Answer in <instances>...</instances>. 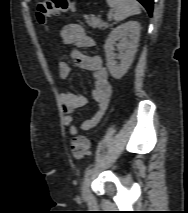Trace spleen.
I'll use <instances>...</instances> for the list:
<instances>
[{"mask_svg":"<svg viewBox=\"0 0 188 213\" xmlns=\"http://www.w3.org/2000/svg\"><path fill=\"white\" fill-rule=\"evenodd\" d=\"M115 9L114 19L121 21L131 15L140 14V6L136 0H106Z\"/></svg>","mask_w":188,"mask_h":213,"instance_id":"obj_1","label":"spleen"}]
</instances>
